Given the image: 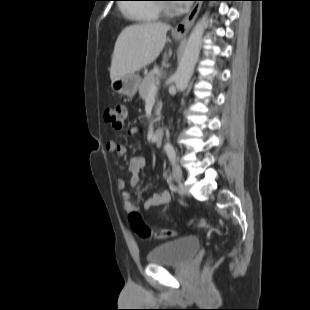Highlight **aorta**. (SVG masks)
<instances>
[{
	"label": "aorta",
	"instance_id": "762f6f07",
	"mask_svg": "<svg viewBox=\"0 0 310 310\" xmlns=\"http://www.w3.org/2000/svg\"><path fill=\"white\" fill-rule=\"evenodd\" d=\"M206 25V16H204L193 28L183 53L180 64L175 73V85L177 90H184L193 74L195 64L200 53V45L203 38ZM171 147L170 143L165 144V149Z\"/></svg>",
	"mask_w": 310,
	"mask_h": 310
}]
</instances>
